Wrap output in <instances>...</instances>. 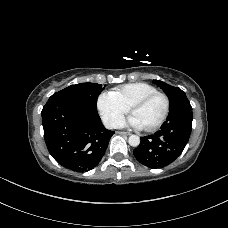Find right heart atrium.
Returning a JSON list of instances; mask_svg holds the SVG:
<instances>
[{
  "label": "right heart atrium",
  "mask_w": 228,
  "mask_h": 228,
  "mask_svg": "<svg viewBox=\"0 0 228 228\" xmlns=\"http://www.w3.org/2000/svg\"><path fill=\"white\" fill-rule=\"evenodd\" d=\"M97 109L104 124L110 128L115 127L129 110L112 92H103L98 96Z\"/></svg>",
  "instance_id": "d8ad5b80"
}]
</instances>
